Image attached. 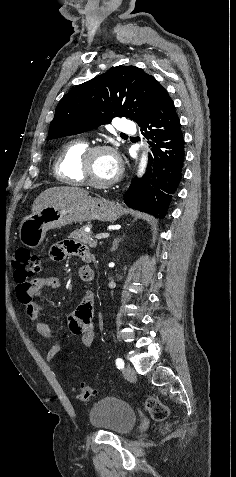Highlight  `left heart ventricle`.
<instances>
[{"label": "left heart ventricle", "instance_id": "b2bd125f", "mask_svg": "<svg viewBox=\"0 0 236 477\" xmlns=\"http://www.w3.org/2000/svg\"><path fill=\"white\" fill-rule=\"evenodd\" d=\"M90 174L96 181H109L118 172L115 156L110 152L102 151L95 154L90 161Z\"/></svg>", "mask_w": 236, "mask_h": 477}]
</instances>
